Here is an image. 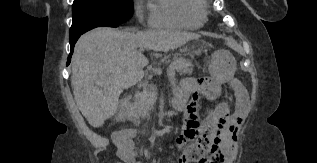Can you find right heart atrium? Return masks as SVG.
<instances>
[{
    "label": "right heart atrium",
    "instance_id": "d8ad5b80",
    "mask_svg": "<svg viewBox=\"0 0 317 163\" xmlns=\"http://www.w3.org/2000/svg\"><path fill=\"white\" fill-rule=\"evenodd\" d=\"M132 5L138 22L144 23L150 19V3L146 0H133Z\"/></svg>",
    "mask_w": 317,
    "mask_h": 163
}]
</instances>
